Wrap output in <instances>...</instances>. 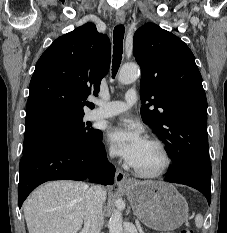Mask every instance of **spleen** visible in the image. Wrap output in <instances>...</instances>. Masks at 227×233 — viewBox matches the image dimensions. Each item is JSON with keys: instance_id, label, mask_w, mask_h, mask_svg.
<instances>
[{"instance_id": "3e777b00", "label": "spleen", "mask_w": 227, "mask_h": 233, "mask_svg": "<svg viewBox=\"0 0 227 233\" xmlns=\"http://www.w3.org/2000/svg\"><path fill=\"white\" fill-rule=\"evenodd\" d=\"M195 224L197 227H201L203 224V217L201 214H197L195 217Z\"/></svg>"}]
</instances>
